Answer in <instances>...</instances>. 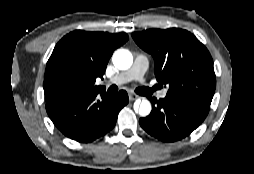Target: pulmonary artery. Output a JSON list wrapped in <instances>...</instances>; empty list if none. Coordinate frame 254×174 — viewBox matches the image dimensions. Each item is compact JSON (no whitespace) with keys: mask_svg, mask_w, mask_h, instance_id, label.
Returning a JSON list of instances; mask_svg holds the SVG:
<instances>
[{"mask_svg":"<svg viewBox=\"0 0 254 174\" xmlns=\"http://www.w3.org/2000/svg\"><path fill=\"white\" fill-rule=\"evenodd\" d=\"M148 68V58L144 54H138L135 57L134 63L128 70L122 71L119 74L115 75L109 80L110 83L121 85L132 80L139 82L144 81V73ZM167 95V90L164 89L159 92L158 96L160 98H165Z\"/></svg>","mask_w":254,"mask_h":174,"instance_id":"e3ab8cb5","label":"pulmonary artery"}]
</instances>
